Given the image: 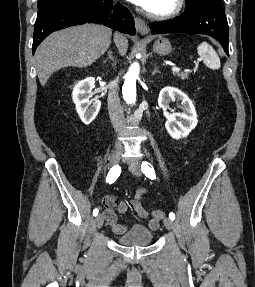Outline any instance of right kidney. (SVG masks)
<instances>
[{
    "instance_id": "1",
    "label": "right kidney",
    "mask_w": 255,
    "mask_h": 287,
    "mask_svg": "<svg viewBox=\"0 0 255 287\" xmlns=\"http://www.w3.org/2000/svg\"><path fill=\"white\" fill-rule=\"evenodd\" d=\"M95 78H85L78 82L73 88L72 100L76 106V110L86 126H89L95 120L101 106L100 100H90L92 98V90L95 88Z\"/></svg>"
}]
</instances>
